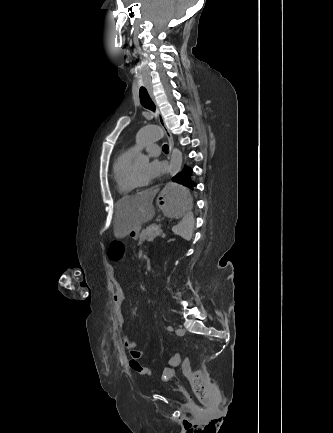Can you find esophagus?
Returning <instances> with one entry per match:
<instances>
[{
  "label": "esophagus",
  "mask_w": 333,
  "mask_h": 433,
  "mask_svg": "<svg viewBox=\"0 0 333 433\" xmlns=\"http://www.w3.org/2000/svg\"><path fill=\"white\" fill-rule=\"evenodd\" d=\"M148 93H149L151 100L155 103V98H154L153 92L150 88H148ZM157 118H158V122L160 124V127L162 128V130H163V132L166 135V138L168 140L169 154H171L172 149H173V145H174L173 136H172L171 132L169 131V129L167 128L166 123H165V119H164L162 113L160 112V110H157Z\"/></svg>",
  "instance_id": "esophagus-1"
}]
</instances>
